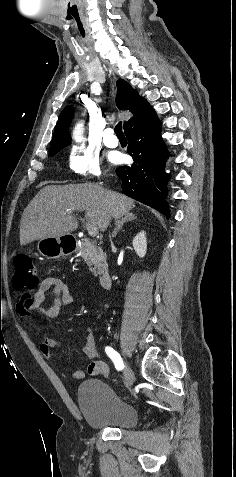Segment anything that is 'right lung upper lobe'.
<instances>
[{
    "label": "right lung upper lobe",
    "mask_w": 236,
    "mask_h": 477,
    "mask_svg": "<svg viewBox=\"0 0 236 477\" xmlns=\"http://www.w3.org/2000/svg\"><path fill=\"white\" fill-rule=\"evenodd\" d=\"M116 104L119 109L129 110L133 117L124 123V132L140 125H147L157 119L156 113L147 101L138 95L126 81H117ZM73 118V107L67 106L60 114L55 127L54 135L50 144V150L64 148L71 144L69 124Z\"/></svg>",
    "instance_id": "obj_1"
}]
</instances>
